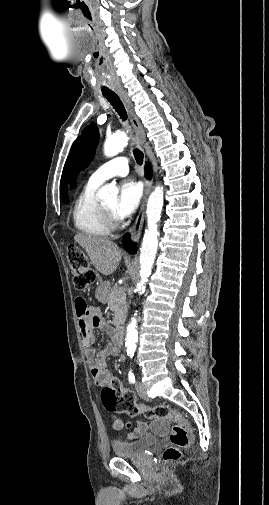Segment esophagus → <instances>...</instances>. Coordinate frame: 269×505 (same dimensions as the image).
Returning a JSON list of instances; mask_svg holds the SVG:
<instances>
[{
    "label": "esophagus",
    "instance_id": "obj_1",
    "mask_svg": "<svg viewBox=\"0 0 269 505\" xmlns=\"http://www.w3.org/2000/svg\"><path fill=\"white\" fill-rule=\"evenodd\" d=\"M116 92L119 95V97L121 98V100L126 108L130 122H131L133 129L135 131L138 143L141 146H143L146 141L145 132H144V129L141 125L140 120L138 119V117L136 116V114L134 112L133 104H132L130 98L128 97L127 93L123 89H117ZM151 188H152V180L147 179L145 181V187H144L140 210H139L138 215L135 219V222L133 223L132 227L130 228L131 240L134 242H137L140 238V235H141V231H142L143 223H144V217H145L146 203H147V199H148L149 193L151 191Z\"/></svg>",
    "mask_w": 269,
    "mask_h": 505
}]
</instances>
